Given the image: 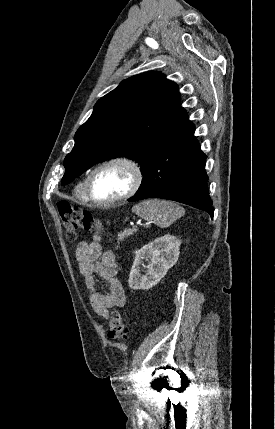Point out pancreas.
Listing matches in <instances>:
<instances>
[{"instance_id":"obj_1","label":"pancreas","mask_w":275,"mask_h":429,"mask_svg":"<svg viewBox=\"0 0 275 429\" xmlns=\"http://www.w3.org/2000/svg\"><path fill=\"white\" fill-rule=\"evenodd\" d=\"M136 231H137V229H136V228H132V229H126V230H124L122 233H119V234H118V238H117V240H118V244H119L121 241H123V240H125L126 238H128L129 236L133 235Z\"/></svg>"}]
</instances>
